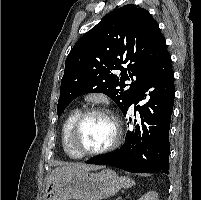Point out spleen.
<instances>
[{
	"mask_svg": "<svg viewBox=\"0 0 201 200\" xmlns=\"http://www.w3.org/2000/svg\"><path fill=\"white\" fill-rule=\"evenodd\" d=\"M120 183H121V187L123 188H129L132 187L133 185H135V181L128 178V177H121L120 178Z\"/></svg>",
	"mask_w": 201,
	"mask_h": 200,
	"instance_id": "obj_1",
	"label": "spleen"
}]
</instances>
